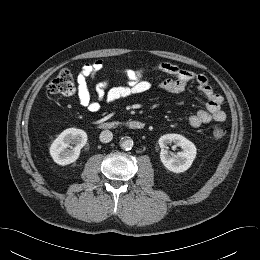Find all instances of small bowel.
<instances>
[{"instance_id": "obj_1", "label": "small bowel", "mask_w": 260, "mask_h": 260, "mask_svg": "<svg viewBox=\"0 0 260 260\" xmlns=\"http://www.w3.org/2000/svg\"><path fill=\"white\" fill-rule=\"evenodd\" d=\"M104 70V63L97 60L84 64L76 78L77 97L80 105L89 113L96 114L101 110L102 102L112 104L115 101L143 95L150 90V83L144 80L146 72H162L172 78L163 80L159 89L166 93H180L186 90L191 82H195L199 91L206 97L205 109L199 110L189 117V124L200 127L210 121L223 122L226 120V113L222 109L223 97L211 87L207 77L190 70L184 69L176 64L161 62L146 68H129L120 71L125 83L112 85L108 80L99 81L95 86V97L88 85V80L95 77Z\"/></svg>"}]
</instances>
